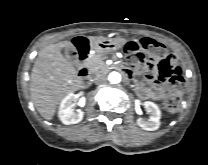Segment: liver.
<instances>
[{"instance_id":"liver-1","label":"liver","mask_w":208,"mask_h":165,"mask_svg":"<svg viewBox=\"0 0 208 165\" xmlns=\"http://www.w3.org/2000/svg\"><path fill=\"white\" fill-rule=\"evenodd\" d=\"M95 38L104 37L94 36L89 37V40ZM70 46L69 41H64L44 47L31 72V98L37 111L46 120L53 118L57 105L66 95L82 87L74 65L61 53L62 48Z\"/></svg>"}]
</instances>
